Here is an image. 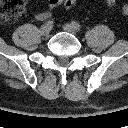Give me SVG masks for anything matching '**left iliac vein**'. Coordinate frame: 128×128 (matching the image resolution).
Instances as JSON below:
<instances>
[{
    "label": "left iliac vein",
    "instance_id": "left-iliac-vein-1",
    "mask_svg": "<svg viewBox=\"0 0 128 128\" xmlns=\"http://www.w3.org/2000/svg\"><path fill=\"white\" fill-rule=\"evenodd\" d=\"M63 29L69 33L76 34L77 30L71 24L63 25Z\"/></svg>",
    "mask_w": 128,
    "mask_h": 128
}]
</instances>
